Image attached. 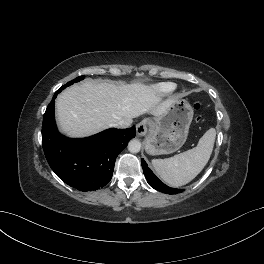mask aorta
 I'll return each mask as SVG.
<instances>
[{
  "label": "aorta",
  "mask_w": 264,
  "mask_h": 264,
  "mask_svg": "<svg viewBox=\"0 0 264 264\" xmlns=\"http://www.w3.org/2000/svg\"><path fill=\"white\" fill-rule=\"evenodd\" d=\"M141 149V143L137 139H133L128 143V150L131 153H138Z\"/></svg>",
  "instance_id": "aorta-1"
}]
</instances>
